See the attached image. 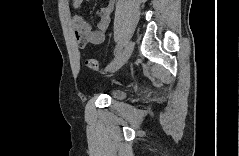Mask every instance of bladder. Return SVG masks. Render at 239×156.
<instances>
[{"mask_svg":"<svg viewBox=\"0 0 239 156\" xmlns=\"http://www.w3.org/2000/svg\"><path fill=\"white\" fill-rule=\"evenodd\" d=\"M111 97H112V99H114L116 101H121L126 98V93L122 90H115L111 93Z\"/></svg>","mask_w":239,"mask_h":156,"instance_id":"bladder-1","label":"bladder"}]
</instances>
